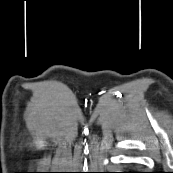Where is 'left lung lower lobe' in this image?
<instances>
[{
    "instance_id": "0a47b994",
    "label": "left lung lower lobe",
    "mask_w": 173,
    "mask_h": 173,
    "mask_svg": "<svg viewBox=\"0 0 173 173\" xmlns=\"http://www.w3.org/2000/svg\"><path fill=\"white\" fill-rule=\"evenodd\" d=\"M128 173H138V172H128Z\"/></svg>"
}]
</instances>
